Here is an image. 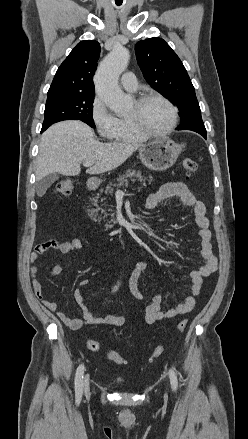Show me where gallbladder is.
Masks as SVG:
<instances>
[{"instance_id": "1", "label": "gallbladder", "mask_w": 248, "mask_h": 439, "mask_svg": "<svg viewBox=\"0 0 248 439\" xmlns=\"http://www.w3.org/2000/svg\"><path fill=\"white\" fill-rule=\"evenodd\" d=\"M59 179V175L57 173H51L42 178L41 180L37 181L36 183V192L37 195L42 197L47 189L56 181Z\"/></svg>"}]
</instances>
